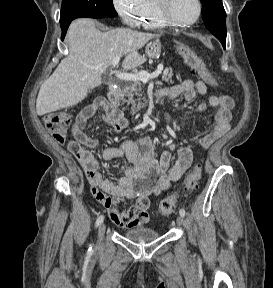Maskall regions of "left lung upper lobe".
Listing matches in <instances>:
<instances>
[{"instance_id":"left-lung-upper-lobe-1","label":"left lung upper lobe","mask_w":273,"mask_h":288,"mask_svg":"<svg viewBox=\"0 0 273 288\" xmlns=\"http://www.w3.org/2000/svg\"><path fill=\"white\" fill-rule=\"evenodd\" d=\"M202 2V18L206 28L211 30H226V12L222 0H200Z\"/></svg>"}]
</instances>
